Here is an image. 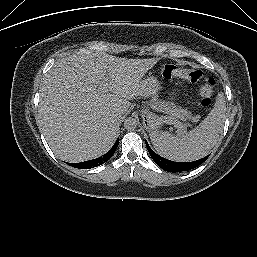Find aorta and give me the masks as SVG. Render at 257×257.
Returning <instances> with one entry per match:
<instances>
[{
    "instance_id": "obj_1",
    "label": "aorta",
    "mask_w": 257,
    "mask_h": 257,
    "mask_svg": "<svg viewBox=\"0 0 257 257\" xmlns=\"http://www.w3.org/2000/svg\"><path fill=\"white\" fill-rule=\"evenodd\" d=\"M137 120L135 118L129 117L124 120V128L127 130H134L137 127Z\"/></svg>"
}]
</instances>
